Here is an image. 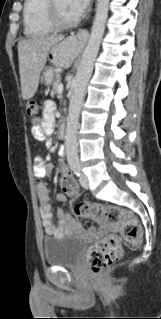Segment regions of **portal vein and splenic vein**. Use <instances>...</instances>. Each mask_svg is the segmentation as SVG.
I'll use <instances>...</instances> for the list:
<instances>
[{
	"label": "portal vein and splenic vein",
	"mask_w": 161,
	"mask_h": 319,
	"mask_svg": "<svg viewBox=\"0 0 161 319\" xmlns=\"http://www.w3.org/2000/svg\"><path fill=\"white\" fill-rule=\"evenodd\" d=\"M58 93H61L63 91V84H60L58 86V89H57Z\"/></svg>",
	"instance_id": "obj_1"
}]
</instances>
